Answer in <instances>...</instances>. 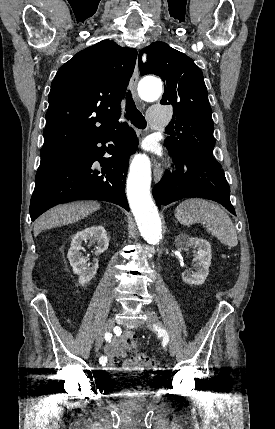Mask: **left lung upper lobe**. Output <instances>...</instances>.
I'll return each instance as SVG.
<instances>
[{"label": "left lung upper lobe", "mask_w": 275, "mask_h": 429, "mask_svg": "<svg viewBox=\"0 0 275 429\" xmlns=\"http://www.w3.org/2000/svg\"><path fill=\"white\" fill-rule=\"evenodd\" d=\"M143 52L147 53L145 64L141 61ZM139 67L142 75L155 74L165 82L160 103L171 105L174 110L170 124L175 131L165 139L169 152L176 156H213L212 111L199 67L191 58L160 41L140 52Z\"/></svg>", "instance_id": "5c2ea615"}]
</instances>
